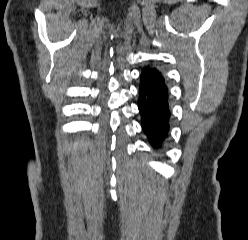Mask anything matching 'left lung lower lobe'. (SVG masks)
I'll return each instance as SVG.
<instances>
[{
    "label": "left lung lower lobe",
    "mask_w": 248,
    "mask_h": 240,
    "mask_svg": "<svg viewBox=\"0 0 248 240\" xmlns=\"http://www.w3.org/2000/svg\"><path fill=\"white\" fill-rule=\"evenodd\" d=\"M138 108L141 126L150 145L161 148L169 137L172 118L169 89L161 71L146 67L140 75Z\"/></svg>",
    "instance_id": "0a47b994"
}]
</instances>
